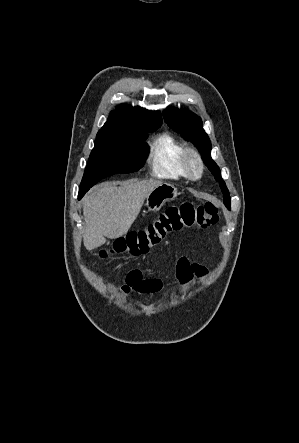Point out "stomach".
<instances>
[{
  "label": "stomach",
  "mask_w": 299,
  "mask_h": 443,
  "mask_svg": "<svg viewBox=\"0 0 299 443\" xmlns=\"http://www.w3.org/2000/svg\"><path fill=\"white\" fill-rule=\"evenodd\" d=\"M178 195L177 189L170 183H162L155 187L146 198V207L149 212H157L165 202L174 200Z\"/></svg>",
  "instance_id": "1"
}]
</instances>
